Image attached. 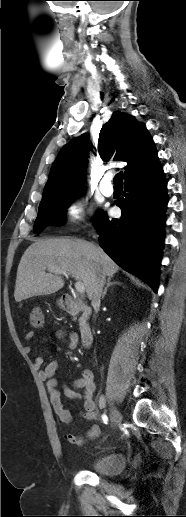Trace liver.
<instances>
[{"mask_svg":"<svg viewBox=\"0 0 186 517\" xmlns=\"http://www.w3.org/2000/svg\"><path fill=\"white\" fill-rule=\"evenodd\" d=\"M56 266L84 284L89 299L99 273L112 277L119 266L100 248L81 239L37 240L24 252L17 269L16 302L55 293L64 286L60 274L45 270Z\"/></svg>","mask_w":186,"mask_h":517,"instance_id":"6515ba94","label":"liver"}]
</instances>
